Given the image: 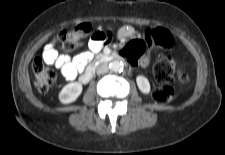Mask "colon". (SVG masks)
Listing matches in <instances>:
<instances>
[{"label":"colon","mask_w":225,"mask_h":155,"mask_svg":"<svg viewBox=\"0 0 225 155\" xmlns=\"http://www.w3.org/2000/svg\"><path fill=\"white\" fill-rule=\"evenodd\" d=\"M91 25L82 23L72 29L64 30L59 34L61 46L66 51H72L78 48L83 38L90 33ZM145 43L162 47H170L173 44L171 33L161 27L155 28L145 34V40H132L121 50V55L126 59L131 67L139 65L145 52ZM32 70L35 75V84L40 92H47L56 82V72L46 65V63L37 58L32 64ZM156 80L161 84L152 91V98L155 102L166 104L176 98V92L170 85L173 82L183 83L188 75L184 69V64L175 58L164 57L158 60L153 68Z\"/></svg>","instance_id":"5ec220e1"}]
</instances>
